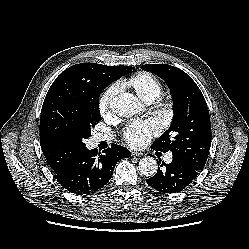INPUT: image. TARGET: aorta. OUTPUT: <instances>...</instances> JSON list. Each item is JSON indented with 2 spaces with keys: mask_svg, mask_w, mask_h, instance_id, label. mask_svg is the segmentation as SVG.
I'll return each instance as SVG.
<instances>
[{
  "mask_svg": "<svg viewBox=\"0 0 249 249\" xmlns=\"http://www.w3.org/2000/svg\"><path fill=\"white\" fill-rule=\"evenodd\" d=\"M110 108L118 116L129 118L141 109V104L133 94L122 93L111 100ZM138 168L142 175L154 176L157 173L158 164L153 157L148 156L139 161Z\"/></svg>",
  "mask_w": 249,
  "mask_h": 249,
  "instance_id": "aorta-1",
  "label": "aorta"
}]
</instances>
